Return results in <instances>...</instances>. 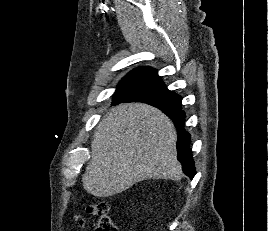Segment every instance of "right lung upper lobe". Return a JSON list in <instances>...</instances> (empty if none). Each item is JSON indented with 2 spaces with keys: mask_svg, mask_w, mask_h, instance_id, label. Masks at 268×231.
Returning <instances> with one entry per match:
<instances>
[{
  "mask_svg": "<svg viewBox=\"0 0 268 231\" xmlns=\"http://www.w3.org/2000/svg\"><path fill=\"white\" fill-rule=\"evenodd\" d=\"M156 83L164 84L161 78L158 76L157 71L151 67H139L130 73H128L119 83L118 89H130L143 84ZM144 102L159 109H166L168 107H179L173 104L156 101L150 99H143L132 95L131 93H124L122 95L116 96L113 104H119L121 102Z\"/></svg>",
  "mask_w": 268,
  "mask_h": 231,
  "instance_id": "1",
  "label": "right lung upper lobe"
}]
</instances>
